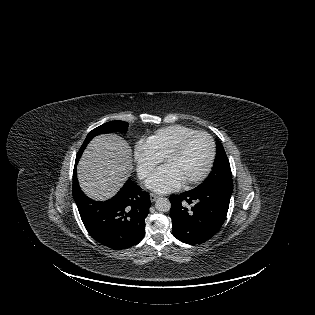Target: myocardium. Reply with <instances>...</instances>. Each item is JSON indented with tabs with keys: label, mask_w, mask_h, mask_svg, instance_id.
Returning a JSON list of instances; mask_svg holds the SVG:
<instances>
[{
	"label": "myocardium",
	"mask_w": 315,
	"mask_h": 315,
	"mask_svg": "<svg viewBox=\"0 0 315 315\" xmlns=\"http://www.w3.org/2000/svg\"><path fill=\"white\" fill-rule=\"evenodd\" d=\"M198 135H203L208 139L209 146H210L209 157H208L207 163H206L203 171L198 176L184 182V184L187 186H191V185L200 183L210 173L212 166H213V163H214L215 154H216L215 142H214V139L212 138V136L205 131H195L193 133H190V134L186 135L185 137H183L181 140H179L176 143V145L174 147H172L163 157V162L166 163V161L169 160L170 158H173V157L179 155L184 150L187 143L192 138H194L195 136H198Z\"/></svg>",
	"instance_id": "obj_1"
}]
</instances>
